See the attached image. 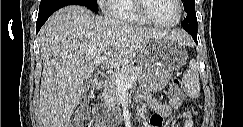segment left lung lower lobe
Wrapping results in <instances>:
<instances>
[{
    "mask_svg": "<svg viewBox=\"0 0 243 127\" xmlns=\"http://www.w3.org/2000/svg\"><path fill=\"white\" fill-rule=\"evenodd\" d=\"M197 18L186 17L182 23L183 28L192 36L194 41L197 42Z\"/></svg>",
    "mask_w": 243,
    "mask_h": 127,
    "instance_id": "1",
    "label": "left lung lower lobe"
}]
</instances>
